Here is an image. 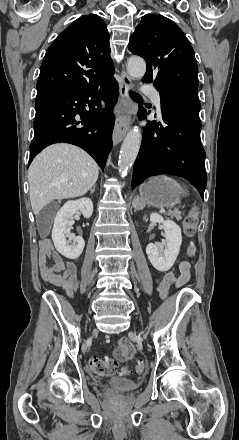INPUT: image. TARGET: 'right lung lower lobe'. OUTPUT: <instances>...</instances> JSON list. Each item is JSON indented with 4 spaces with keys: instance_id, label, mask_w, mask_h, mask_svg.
Returning a JSON list of instances; mask_svg holds the SVG:
<instances>
[{
    "instance_id": "98d812e1",
    "label": "right lung lower lobe",
    "mask_w": 239,
    "mask_h": 440,
    "mask_svg": "<svg viewBox=\"0 0 239 440\" xmlns=\"http://www.w3.org/2000/svg\"><path fill=\"white\" fill-rule=\"evenodd\" d=\"M117 95L113 76L84 88L38 92L29 164L45 147L66 142L87 151L103 169L112 147V108ZM100 98L106 104L104 109Z\"/></svg>"
}]
</instances>
